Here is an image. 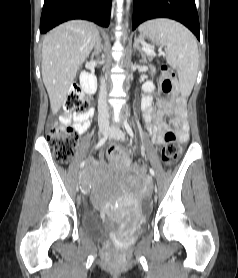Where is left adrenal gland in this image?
Here are the masks:
<instances>
[{"label":"left adrenal gland","instance_id":"a2214340","mask_svg":"<svg viewBox=\"0 0 238 278\" xmlns=\"http://www.w3.org/2000/svg\"><path fill=\"white\" fill-rule=\"evenodd\" d=\"M133 47H134V49H138L139 52L141 53L142 57H144V54H143L142 49L140 47V40L138 38H135Z\"/></svg>","mask_w":238,"mask_h":278}]
</instances>
